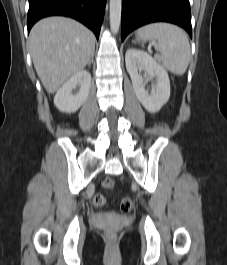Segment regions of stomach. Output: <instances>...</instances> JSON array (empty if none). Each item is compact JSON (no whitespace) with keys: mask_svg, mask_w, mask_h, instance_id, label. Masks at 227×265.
<instances>
[{"mask_svg":"<svg viewBox=\"0 0 227 265\" xmlns=\"http://www.w3.org/2000/svg\"><path fill=\"white\" fill-rule=\"evenodd\" d=\"M136 42L137 43H145V40L140 39L139 37L136 38Z\"/></svg>","mask_w":227,"mask_h":265,"instance_id":"stomach-1","label":"stomach"}]
</instances>
